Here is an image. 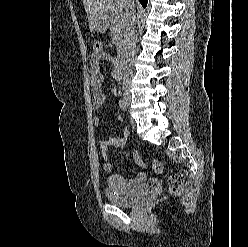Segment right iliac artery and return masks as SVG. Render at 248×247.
I'll list each match as a JSON object with an SVG mask.
<instances>
[{
	"instance_id": "right-iliac-artery-1",
	"label": "right iliac artery",
	"mask_w": 248,
	"mask_h": 247,
	"mask_svg": "<svg viewBox=\"0 0 248 247\" xmlns=\"http://www.w3.org/2000/svg\"><path fill=\"white\" fill-rule=\"evenodd\" d=\"M119 107H120V109L125 113L126 112V104L124 103V101L123 100H120L119 101Z\"/></svg>"
}]
</instances>
